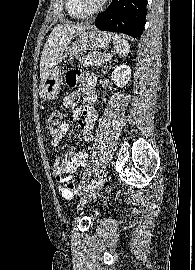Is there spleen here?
<instances>
[{
    "instance_id": "spleen-1",
    "label": "spleen",
    "mask_w": 195,
    "mask_h": 270,
    "mask_svg": "<svg viewBox=\"0 0 195 270\" xmlns=\"http://www.w3.org/2000/svg\"><path fill=\"white\" fill-rule=\"evenodd\" d=\"M114 48L121 56H126L129 53V43L119 34H113L112 36Z\"/></svg>"
}]
</instances>
